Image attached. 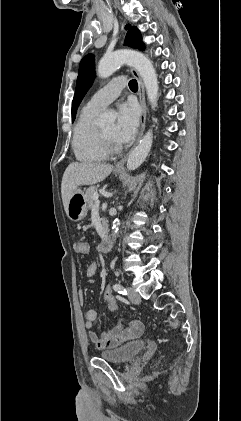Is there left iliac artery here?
<instances>
[{
  "label": "left iliac artery",
  "mask_w": 241,
  "mask_h": 421,
  "mask_svg": "<svg viewBox=\"0 0 241 421\" xmlns=\"http://www.w3.org/2000/svg\"><path fill=\"white\" fill-rule=\"evenodd\" d=\"M113 289L122 295H127V290L119 283L113 285Z\"/></svg>",
  "instance_id": "left-iliac-artery-1"
}]
</instances>
